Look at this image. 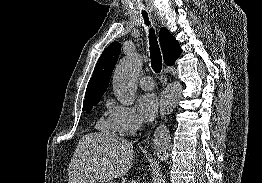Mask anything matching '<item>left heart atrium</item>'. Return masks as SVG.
I'll return each instance as SVG.
<instances>
[{
  "instance_id": "39dd6f15",
  "label": "left heart atrium",
  "mask_w": 262,
  "mask_h": 183,
  "mask_svg": "<svg viewBox=\"0 0 262 183\" xmlns=\"http://www.w3.org/2000/svg\"><path fill=\"white\" fill-rule=\"evenodd\" d=\"M158 99L155 94L147 93L140 97L138 101L139 113L143 120L152 121L158 112Z\"/></svg>"
}]
</instances>
